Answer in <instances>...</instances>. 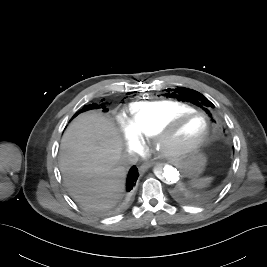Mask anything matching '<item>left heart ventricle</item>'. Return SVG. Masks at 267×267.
<instances>
[{
	"mask_svg": "<svg viewBox=\"0 0 267 267\" xmlns=\"http://www.w3.org/2000/svg\"><path fill=\"white\" fill-rule=\"evenodd\" d=\"M205 127L201 116H191L181 122L172 133V141L177 144L190 143L199 138Z\"/></svg>",
	"mask_w": 267,
	"mask_h": 267,
	"instance_id": "1",
	"label": "left heart ventricle"
}]
</instances>
